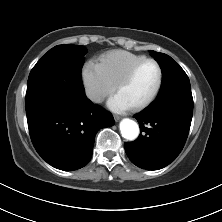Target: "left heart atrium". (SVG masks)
Masks as SVG:
<instances>
[{
  "mask_svg": "<svg viewBox=\"0 0 222 222\" xmlns=\"http://www.w3.org/2000/svg\"><path fill=\"white\" fill-rule=\"evenodd\" d=\"M107 106L114 112H124L132 108V105L118 92L108 100Z\"/></svg>",
  "mask_w": 222,
  "mask_h": 222,
  "instance_id": "obj_1",
  "label": "left heart atrium"
}]
</instances>
